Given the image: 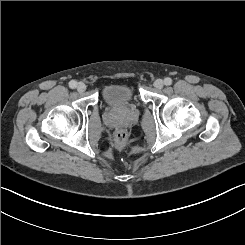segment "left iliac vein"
<instances>
[{
	"label": "left iliac vein",
	"mask_w": 245,
	"mask_h": 245,
	"mask_svg": "<svg viewBox=\"0 0 245 245\" xmlns=\"http://www.w3.org/2000/svg\"><path fill=\"white\" fill-rule=\"evenodd\" d=\"M163 86H164V83H163V81L161 79H157V80L154 81V87L156 89H162Z\"/></svg>",
	"instance_id": "left-iliac-vein-1"
}]
</instances>
